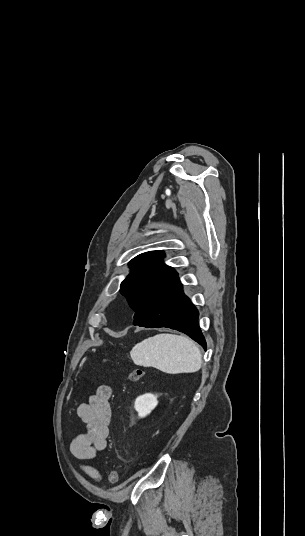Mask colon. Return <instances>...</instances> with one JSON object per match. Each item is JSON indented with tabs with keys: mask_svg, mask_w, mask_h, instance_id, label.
I'll return each instance as SVG.
<instances>
[{
	"mask_svg": "<svg viewBox=\"0 0 305 536\" xmlns=\"http://www.w3.org/2000/svg\"><path fill=\"white\" fill-rule=\"evenodd\" d=\"M143 376V371L140 368H134L128 373V379L132 382L139 381ZM109 481L116 484L118 481V473L115 469L109 471Z\"/></svg>",
	"mask_w": 305,
	"mask_h": 536,
	"instance_id": "1",
	"label": "colon"
}]
</instances>
